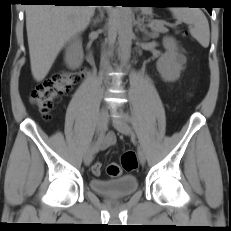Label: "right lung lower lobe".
<instances>
[{"mask_svg": "<svg viewBox=\"0 0 231 231\" xmlns=\"http://www.w3.org/2000/svg\"><path fill=\"white\" fill-rule=\"evenodd\" d=\"M24 2L28 3H50L54 5H80L77 2V0H23Z\"/></svg>", "mask_w": 231, "mask_h": 231, "instance_id": "1", "label": "right lung lower lobe"}]
</instances>
